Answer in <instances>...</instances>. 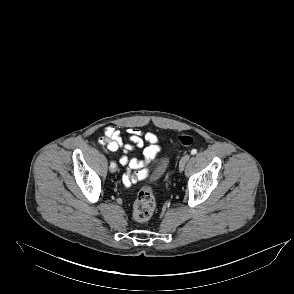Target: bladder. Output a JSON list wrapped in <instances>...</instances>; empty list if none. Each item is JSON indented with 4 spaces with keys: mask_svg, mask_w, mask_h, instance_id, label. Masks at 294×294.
I'll return each instance as SVG.
<instances>
[{
    "mask_svg": "<svg viewBox=\"0 0 294 294\" xmlns=\"http://www.w3.org/2000/svg\"><path fill=\"white\" fill-rule=\"evenodd\" d=\"M168 165H169V158L167 156L160 158L154 164V167L152 169L151 178L152 179L159 178L164 173V171L167 169Z\"/></svg>",
    "mask_w": 294,
    "mask_h": 294,
    "instance_id": "31cf9c89",
    "label": "bladder"
}]
</instances>
